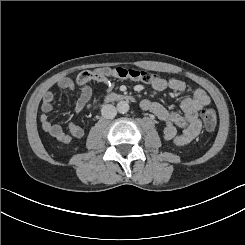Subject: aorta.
<instances>
[{"instance_id": "aorta-1", "label": "aorta", "mask_w": 245, "mask_h": 245, "mask_svg": "<svg viewBox=\"0 0 245 245\" xmlns=\"http://www.w3.org/2000/svg\"><path fill=\"white\" fill-rule=\"evenodd\" d=\"M130 109L129 103L127 101H120L117 104V110L119 113H127Z\"/></svg>"}]
</instances>
